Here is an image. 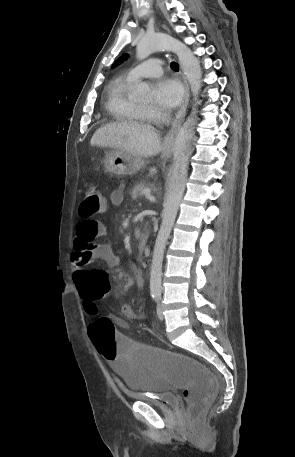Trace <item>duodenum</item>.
I'll return each instance as SVG.
<instances>
[{
	"instance_id": "obj_1",
	"label": "duodenum",
	"mask_w": 295,
	"mask_h": 457,
	"mask_svg": "<svg viewBox=\"0 0 295 457\" xmlns=\"http://www.w3.org/2000/svg\"><path fill=\"white\" fill-rule=\"evenodd\" d=\"M147 235L146 234H142L139 238V250L140 251H143L146 247V244H147Z\"/></svg>"
}]
</instances>
